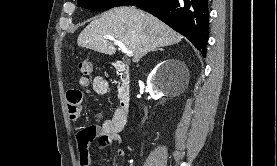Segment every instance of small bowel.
Instances as JSON below:
<instances>
[{"label": "small bowel", "instance_id": "1", "mask_svg": "<svg viewBox=\"0 0 277 166\" xmlns=\"http://www.w3.org/2000/svg\"><path fill=\"white\" fill-rule=\"evenodd\" d=\"M80 89H71L66 93L69 117L72 121H78L82 116L83 90H89L96 95H104L109 90L107 80L102 76H96L92 80L87 77H81L78 81ZM100 123L82 128L76 135L77 152L80 166H91V157L89 145L93 140H98L101 148L116 142L122 144L121 131L126 122L123 121L118 109L115 110L111 119L103 118L98 115ZM115 157L121 158L125 155L122 148H118Z\"/></svg>", "mask_w": 277, "mask_h": 166}]
</instances>
